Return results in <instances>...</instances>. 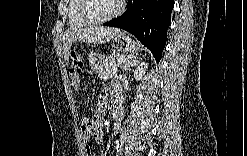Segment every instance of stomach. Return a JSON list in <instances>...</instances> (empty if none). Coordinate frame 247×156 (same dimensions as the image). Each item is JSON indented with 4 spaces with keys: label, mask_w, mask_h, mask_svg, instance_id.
I'll list each match as a JSON object with an SVG mask.
<instances>
[{
    "label": "stomach",
    "mask_w": 247,
    "mask_h": 156,
    "mask_svg": "<svg viewBox=\"0 0 247 156\" xmlns=\"http://www.w3.org/2000/svg\"><path fill=\"white\" fill-rule=\"evenodd\" d=\"M115 42H117L120 47L126 52L135 53L139 49L137 43L131 38V36L126 33L119 34L115 38ZM88 61L90 68L93 71H96L102 64V56L97 53H90L88 55Z\"/></svg>",
    "instance_id": "1"
}]
</instances>
